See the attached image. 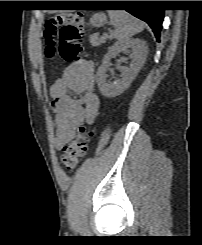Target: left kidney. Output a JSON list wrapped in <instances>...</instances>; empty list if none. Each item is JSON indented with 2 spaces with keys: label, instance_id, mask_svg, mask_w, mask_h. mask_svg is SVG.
Listing matches in <instances>:
<instances>
[{
  "label": "left kidney",
  "instance_id": "left-kidney-1",
  "mask_svg": "<svg viewBox=\"0 0 202 245\" xmlns=\"http://www.w3.org/2000/svg\"><path fill=\"white\" fill-rule=\"evenodd\" d=\"M121 51H131L129 67L119 66L121 79L114 82L106 80L109 62L112 57H116ZM148 47L146 42L140 39H130L116 42L110 47L108 53L104 56L101 66L97 72V83L101 94L105 97H115L123 93L132 83L142 68Z\"/></svg>",
  "mask_w": 202,
  "mask_h": 245
}]
</instances>
